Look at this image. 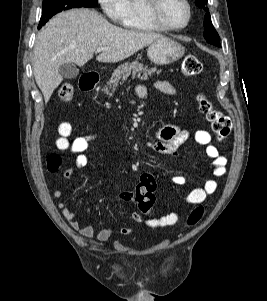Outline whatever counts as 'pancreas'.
<instances>
[{"label":"pancreas","mask_w":267,"mask_h":301,"mask_svg":"<svg viewBox=\"0 0 267 301\" xmlns=\"http://www.w3.org/2000/svg\"><path fill=\"white\" fill-rule=\"evenodd\" d=\"M156 71V68H148V66H145L139 63L138 61H134L131 63L126 62L123 65L118 66L117 69H115V71L112 74V77L104 86L102 91L105 94L112 96L119 84H122L124 81H126L130 75L132 76V78L137 77L141 80H147L148 77ZM159 73L160 71H157V74Z\"/></svg>","instance_id":"pancreas-1"}]
</instances>
